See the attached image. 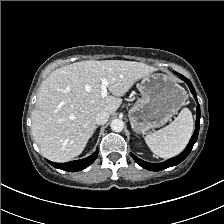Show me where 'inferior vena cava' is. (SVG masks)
<instances>
[{"label":"inferior vena cava","mask_w":224,"mask_h":224,"mask_svg":"<svg viewBox=\"0 0 224 224\" xmlns=\"http://www.w3.org/2000/svg\"><path fill=\"white\" fill-rule=\"evenodd\" d=\"M110 117V114L106 111H101L96 114L95 122L96 124L103 125L105 124Z\"/></svg>","instance_id":"inferior-vena-cava-1"}]
</instances>
